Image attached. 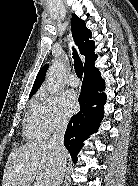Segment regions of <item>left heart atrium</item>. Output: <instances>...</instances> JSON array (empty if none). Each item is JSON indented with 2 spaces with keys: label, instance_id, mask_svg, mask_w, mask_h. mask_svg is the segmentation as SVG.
I'll return each instance as SVG.
<instances>
[{
  "label": "left heart atrium",
  "instance_id": "obj_1",
  "mask_svg": "<svg viewBox=\"0 0 138 186\" xmlns=\"http://www.w3.org/2000/svg\"><path fill=\"white\" fill-rule=\"evenodd\" d=\"M78 102L76 94L73 91H66L62 96V110L66 116H71L76 112Z\"/></svg>",
  "mask_w": 138,
  "mask_h": 186
}]
</instances>
